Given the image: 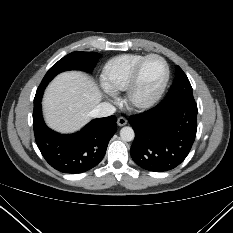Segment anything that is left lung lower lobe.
Instances as JSON below:
<instances>
[{
  "label": "left lung lower lobe",
  "instance_id": "0a47b994",
  "mask_svg": "<svg viewBox=\"0 0 233 233\" xmlns=\"http://www.w3.org/2000/svg\"><path fill=\"white\" fill-rule=\"evenodd\" d=\"M197 112L194 99H174L130 116L128 121L135 131L130 150L132 159L153 172L178 166L195 140Z\"/></svg>",
  "mask_w": 233,
  "mask_h": 233
}]
</instances>
